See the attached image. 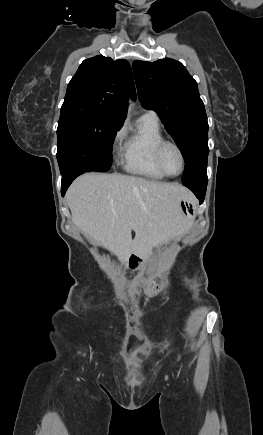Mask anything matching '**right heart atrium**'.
Returning <instances> with one entry per match:
<instances>
[{"label": "right heart atrium", "mask_w": 263, "mask_h": 435, "mask_svg": "<svg viewBox=\"0 0 263 435\" xmlns=\"http://www.w3.org/2000/svg\"><path fill=\"white\" fill-rule=\"evenodd\" d=\"M124 135V130L122 128L117 129L112 136V145H116Z\"/></svg>", "instance_id": "right-heart-atrium-1"}]
</instances>
